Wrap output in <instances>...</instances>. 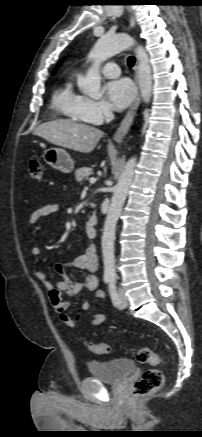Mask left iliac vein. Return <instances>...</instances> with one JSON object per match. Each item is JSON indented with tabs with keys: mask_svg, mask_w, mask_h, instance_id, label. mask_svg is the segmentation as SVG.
<instances>
[{
	"mask_svg": "<svg viewBox=\"0 0 202 437\" xmlns=\"http://www.w3.org/2000/svg\"><path fill=\"white\" fill-rule=\"evenodd\" d=\"M118 297H119L118 307L121 309L125 308L127 305V298H126L124 291L122 289H119Z\"/></svg>",
	"mask_w": 202,
	"mask_h": 437,
	"instance_id": "1",
	"label": "left iliac vein"
}]
</instances>
